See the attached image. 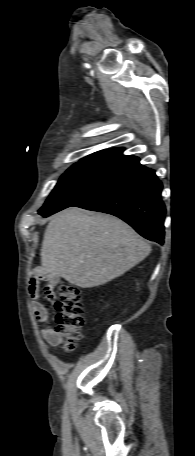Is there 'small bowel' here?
<instances>
[{
    "mask_svg": "<svg viewBox=\"0 0 195 456\" xmlns=\"http://www.w3.org/2000/svg\"><path fill=\"white\" fill-rule=\"evenodd\" d=\"M40 278L45 280V285L43 288L44 295L48 298H52L53 288L56 283V278L51 275H41ZM29 293L34 299L32 302L33 313L37 320L41 322H47L49 318V313L45 305L40 301L42 296V291L39 287V280L37 277H33L30 280L29 284ZM44 339L50 344L56 345L59 344L62 340V336L54 328H45L42 331Z\"/></svg>",
    "mask_w": 195,
    "mask_h": 456,
    "instance_id": "1",
    "label": "small bowel"
}]
</instances>
